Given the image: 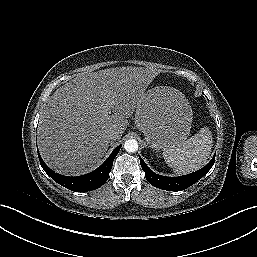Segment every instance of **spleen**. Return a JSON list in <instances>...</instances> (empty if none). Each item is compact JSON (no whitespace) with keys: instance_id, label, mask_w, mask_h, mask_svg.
Returning a JSON list of instances; mask_svg holds the SVG:
<instances>
[{"instance_id":"obj_1","label":"spleen","mask_w":257,"mask_h":257,"mask_svg":"<svg viewBox=\"0 0 257 257\" xmlns=\"http://www.w3.org/2000/svg\"><path fill=\"white\" fill-rule=\"evenodd\" d=\"M213 138L208 127L185 142L163 151L166 164L177 174H187L203 167L211 153Z\"/></svg>"}]
</instances>
